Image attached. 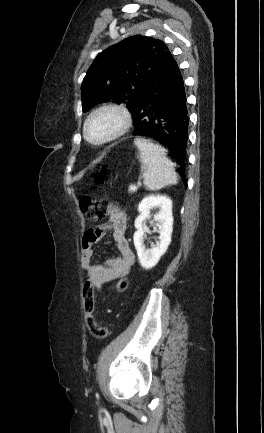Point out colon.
Segmentation results:
<instances>
[{
  "label": "colon",
  "instance_id": "colon-1",
  "mask_svg": "<svg viewBox=\"0 0 264 433\" xmlns=\"http://www.w3.org/2000/svg\"><path fill=\"white\" fill-rule=\"evenodd\" d=\"M107 174V167L101 165L93 177V185L99 186L104 183ZM81 209L87 214L91 222H97L104 219V212L101 209V198L94 193H85L80 200ZM129 285L127 278L123 277L118 280L116 289L118 292H124ZM83 309L85 313L86 325L90 333L96 338H106L110 333L108 326L97 325L93 316L95 304V286L90 280H86L82 290Z\"/></svg>",
  "mask_w": 264,
  "mask_h": 433
}]
</instances>
